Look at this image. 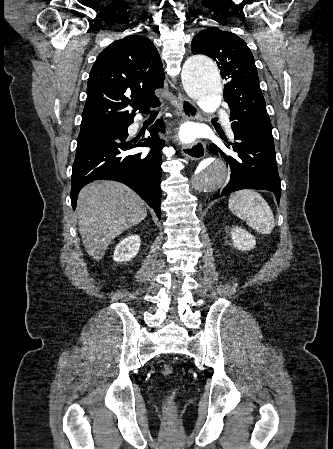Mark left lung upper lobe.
Listing matches in <instances>:
<instances>
[{"instance_id": "5c2ea615", "label": "left lung upper lobe", "mask_w": 333, "mask_h": 449, "mask_svg": "<svg viewBox=\"0 0 333 449\" xmlns=\"http://www.w3.org/2000/svg\"><path fill=\"white\" fill-rule=\"evenodd\" d=\"M191 48L193 54H205L216 61L226 81L224 100L230 107V115L240 122L272 131L254 57L247 44L233 33L212 27L196 34Z\"/></svg>"}]
</instances>
